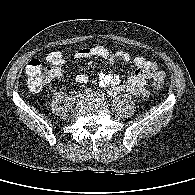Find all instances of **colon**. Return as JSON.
Here are the masks:
<instances>
[{
    "label": "colon",
    "mask_w": 195,
    "mask_h": 195,
    "mask_svg": "<svg viewBox=\"0 0 195 195\" xmlns=\"http://www.w3.org/2000/svg\"><path fill=\"white\" fill-rule=\"evenodd\" d=\"M61 70L57 66H46L39 60H31L26 67L28 87L32 91H38L53 77L59 76ZM165 83V75L156 78L153 82L155 88H161Z\"/></svg>",
    "instance_id": "colon-1"
}]
</instances>
